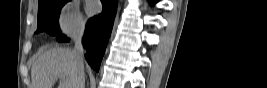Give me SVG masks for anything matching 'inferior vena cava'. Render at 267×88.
Segmentation results:
<instances>
[{
	"mask_svg": "<svg viewBox=\"0 0 267 88\" xmlns=\"http://www.w3.org/2000/svg\"><path fill=\"white\" fill-rule=\"evenodd\" d=\"M84 28L78 29L74 33V49L73 53L76 58L77 69H78V84L77 88H84L85 84V74H84V49L82 45V36H83Z\"/></svg>",
	"mask_w": 267,
	"mask_h": 88,
	"instance_id": "602c4592",
	"label": "inferior vena cava"
}]
</instances>
